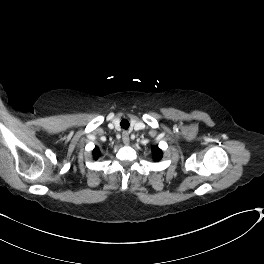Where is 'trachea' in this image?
I'll return each instance as SVG.
<instances>
[{
    "mask_svg": "<svg viewBox=\"0 0 264 264\" xmlns=\"http://www.w3.org/2000/svg\"><path fill=\"white\" fill-rule=\"evenodd\" d=\"M120 125L123 129L127 130L129 128V121L126 120V119H123L121 122H120Z\"/></svg>",
    "mask_w": 264,
    "mask_h": 264,
    "instance_id": "1",
    "label": "trachea"
}]
</instances>
